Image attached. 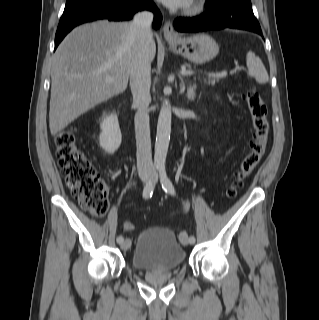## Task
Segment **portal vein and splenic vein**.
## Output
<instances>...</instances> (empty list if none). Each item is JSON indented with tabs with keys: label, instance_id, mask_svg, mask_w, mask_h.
Wrapping results in <instances>:
<instances>
[{
	"label": "portal vein and splenic vein",
	"instance_id": "portal-vein-and-splenic-vein-1",
	"mask_svg": "<svg viewBox=\"0 0 319 320\" xmlns=\"http://www.w3.org/2000/svg\"><path fill=\"white\" fill-rule=\"evenodd\" d=\"M182 75L184 76H189V75H192L194 74L193 71L191 70H187L185 67H182L181 68V72H180ZM209 76L211 77H215V78H224L227 76V72L226 71H223V72H218V73H212V74H209Z\"/></svg>",
	"mask_w": 319,
	"mask_h": 320
}]
</instances>
